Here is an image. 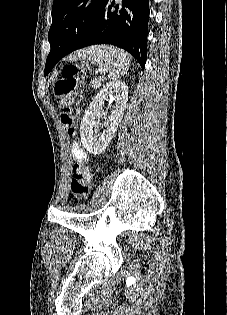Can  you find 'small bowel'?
<instances>
[{"mask_svg": "<svg viewBox=\"0 0 227 315\" xmlns=\"http://www.w3.org/2000/svg\"><path fill=\"white\" fill-rule=\"evenodd\" d=\"M71 155L73 160L77 163H83L86 160V152L76 141H74L71 145Z\"/></svg>", "mask_w": 227, "mask_h": 315, "instance_id": "small-bowel-1", "label": "small bowel"}]
</instances>
